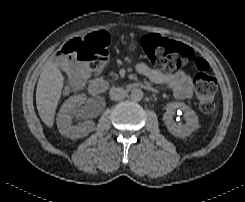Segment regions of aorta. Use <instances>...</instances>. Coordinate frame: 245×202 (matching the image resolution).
Returning <instances> with one entry per match:
<instances>
[{
	"label": "aorta",
	"mask_w": 245,
	"mask_h": 202,
	"mask_svg": "<svg viewBox=\"0 0 245 202\" xmlns=\"http://www.w3.org/2000/svg\"><path fill=\"white\" fill-rule=\"evenodd\" d=\"M130 97L134 101H140L143 98V91L139 88L132 89Z\"/></svg>",
	"instance_id": "aorta-1"
}]
</instances>
